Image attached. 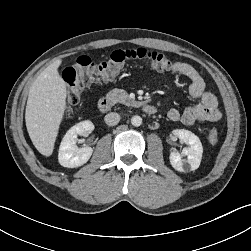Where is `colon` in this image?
Masks as SVG:
<instances>
[{
  "instance_id": "5ec220e1",
  "label": "colon",
  "mask_w": 251,
  "mask_h": 251,
  "mask_svg": "<svg viewBox=\"0 0 251 251\" xmlns=\"http://www.w3.org/2000/svg\"><path fill=\"white\" fill-rule=\"evenodd\" d=\"M131 62L142 63L160 72L173 70L175 67V63L164 53L145 48L115 50L106 60L98 63L89 57L81 56L73 66L67 67L63 72L66 84V114L69 115L80 102L86 88L113 79ZM208 138L211 144H216L219 140L218 130L212 129Z\"/></svg>"
}]
</instances>
